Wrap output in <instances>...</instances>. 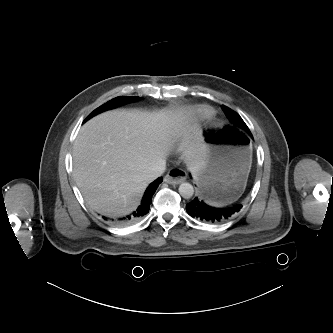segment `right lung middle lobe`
<instances>
[{"label": "right lung middle lobe", "mask_w": 333, "mask_h": 333, "mask_svg": "<svg viewBox=\"0 0 333 333\" xmlns=\"http://www.w3.org/2000/svg\"><path fill=\"white\" fill-rule=\"evenodd\" d=\"M139 99V97L137 96H130V97H117V98H114L110 101H108L107 103H105L104 105L98 107L97 109H95L86 119L85 121H87L88 119H90L91 117L103 112V111H106V110H109V109H112V108H115L117 106H120V105H123V104H126V103H130V102H134V101H137Z\"/></svg>", "instance_id": "obj_1"}]
</instances>
